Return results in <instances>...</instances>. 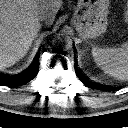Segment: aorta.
Returning a JSON list of instances; mask_svg holds the SVG:
<instances>
[{
    "label": "aorta",
    "instance_id": "762f6f07",
    "mask_svg": "<svg viewBox=\"0 0 128 128\" xmlns=\"http://www.w3.org/2000/svg\"><path fill=\"white\" fill-rule=\"evenodd\" d=\"M54 42L56 46L63 49H69L72 45V41L69 38L62 39L60 36H57Z\"/></svg>",
    "mask_w": 128,
    "mask_h": 128
}]
</instances>
